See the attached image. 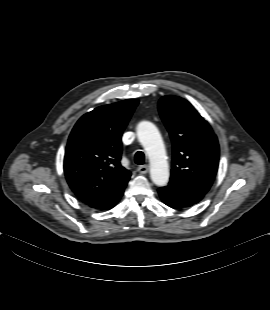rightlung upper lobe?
I'll use <instances>...</instances> for the list:
<instances>
[{
    "label": "right lung upper lobe",
    "mask_w": 270,
    "mask_h": 310,
    "mask_svg": "<svg viewBox=\"0 0 270 310\" xmlns=\"http://www.w3.org/2000/svg\"><path fill=\"white\" fill-rule=\"evenodd\" d=\"M138 100L100 106L83 115L66 147L64 172L74 194L85 204L97 202L128 182L131 172L120 161L121 137Z\"/></svg>",
    "instance_id": "obj_1"
}]
</instances>
